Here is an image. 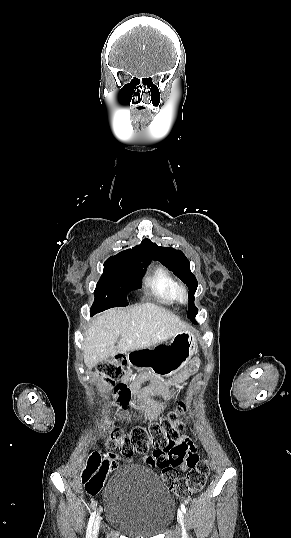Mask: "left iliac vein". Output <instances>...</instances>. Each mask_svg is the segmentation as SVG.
<instances>
[{"mask_svg": "<svg viewBox=\"0 0 291 538\" xmlns=\"http://www.w3.org/2000/svg\"><path fill=\"white\" fill-rule=\"evenodd\" d=\"M177 519H178L179 524L181 525L183 538H187V534H186V530H185V526H184V516H183V512L181 510H178Z\"/></svg>", "mask_w": 291, "mask_h": 538, "instance_id": "obj_1", "label": "left iliac vein"}]
</instances>
